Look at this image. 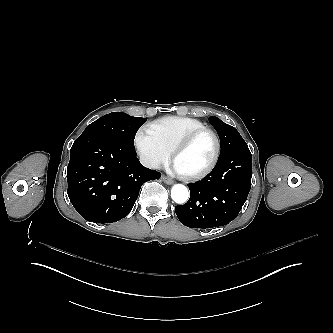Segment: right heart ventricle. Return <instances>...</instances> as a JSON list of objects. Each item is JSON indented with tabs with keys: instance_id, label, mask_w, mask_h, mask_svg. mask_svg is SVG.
Here are the masks:
<instances>
[{
	"instance_id": "obj_1",
	"label": "right heart ventricle",
	"mask_w": 333,
	"mask_h": 333,
	"mask_svg": "<svg viewBox=\"0 0 333 333\" xmlns=\"http://www.w3.org/2000/svg\"><path fill=\"white\" fill-rule=\"evenodd\" d=\"M204 127H206L204 123L193 118L169 116L146 124L139 133L144 139L158 143L171 151L187 133Z\"/></svg>"
}]
</instances>
